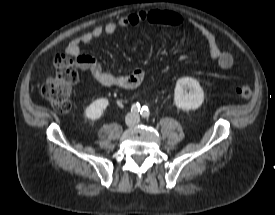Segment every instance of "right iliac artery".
<instances>
[{
  "instance_id": "1",
  "label": "right iliac artery",
  "mask_w": 275,
  "mask_h": 215,
  "mask_svg": "<svg viewBox=\"0 0 275 215\" xmlns=\"http://www.w3.org/2000/svg\"><path fill=\"white\" fill-rule=\"evenodd\" d=\"M141 107L139 103L133 104L131 106V112L132 113H138L140 111Z\"/></svg>"
}]
</instances>
